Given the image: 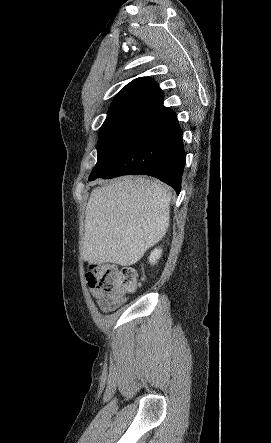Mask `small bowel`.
I'll return each mask as SVG.
<instances>
[{
  "mask_svg": "<svg viewBox=\"0 0 271 443\" xmlns=\"http://www.w3.org/2000/svg\"><path fill=\"white\" fill-rule=\"evenodd\" d=\"M90 292L92 296L95 298V301L100 310L105 313L118 309L126 301V298L107 295L94 289H91Z\"/></svg>",
  "mask_w": 271,
  "mask_h": 443,
  "instance_id": "c3829d8e",
  "label": "small bowel"
}]
</instances>
